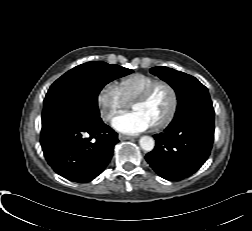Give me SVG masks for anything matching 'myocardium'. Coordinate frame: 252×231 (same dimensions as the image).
<instances>
[{
	"label": "myocardium",
	"mask_w": 252,
	"mask_h": 231,
	"mask_svg": "<svg viewBox=\"0 0 252 231\" xmlns=\"http://www.w3.org/2000/svg\"><path fill=\"white\" fill-rule=\"evenodd\" d=\"M160 85H165L170 90L171 105L167 114L158 123L152 125V128L154 130H160L166 127L174 118L178 109V105H179V95H178V91L176 87L167 80H157L156 82L151 84L149 87H147L138 97H136L132 101V105L136 103L146 102L151 97L154 90Z\"/></svg>",
	"instance_id": "myocardium-1"
}]
</instances>
